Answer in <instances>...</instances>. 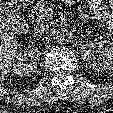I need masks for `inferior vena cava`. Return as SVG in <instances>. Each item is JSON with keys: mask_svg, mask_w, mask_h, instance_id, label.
Here are the masks:
<instances>
[{"mask_svg": "<svg viewBox=\"0 0 113 113\" xmlns=\"http://www.w3.org/2000/svg\"><path fill=\"white\" fill-rule=\"evenodd\" d=\"M50 28H51L50 24H40L36 26L34 30H35V33L43 34V33H47Z\"/></svg>", "mask_w": 113, "mask_h": 113, "instance_id": "1", "label": "inferior vena cava"}]
</instances>
